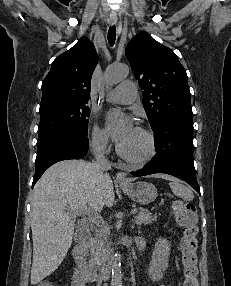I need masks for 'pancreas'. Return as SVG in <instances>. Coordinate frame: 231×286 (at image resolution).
<instances>
[{"label":"pancreas","instance_id":"pancreas-1","mask_svg":"<svg viewBox=\"0 0 231 286\" xmlns=\"http://www.w3.org/2000/svg\"><path fill=\"white\" fill-rule=\"evenodd\" d=\"M154 221H157V215H152L147 209H141L135 217V222L139 225L149 224ZM109 235L110 229L107 225L102 226L96 231L95 237L91 240L90 245V262L92 264L100 265L109 257L111 244Z\"/></svg>","mask_w":231,"mask_h":286}]
</instances>
